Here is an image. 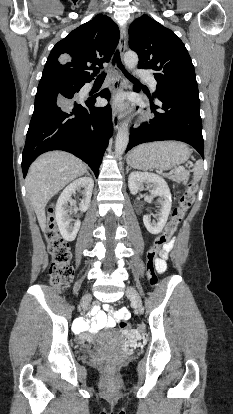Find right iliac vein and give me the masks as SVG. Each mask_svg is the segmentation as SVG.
<instances>
[{"label": "right iliac vein", "mask_w": 233, "mask_h": 414, "mask_svg": "<svg viewBox=\"0 0 233 414\" xmlns=\"http://www.w3.org/2000/svg\"><path fill=\"white\" fill-rule=\"evenodd\" d=\"M90 300H91V296H90L89 294L85 295V296L82 298L81 305H82V306H85L87 303H89V302H90Z\"/></svg>", "instance_id": "right-iliac-vein-1"}]
</instances>
